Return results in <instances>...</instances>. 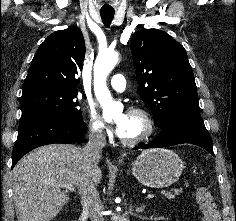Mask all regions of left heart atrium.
Here are the masks:
<instances>
[{
	"instance_id": "1",
	"label": "left heart atrium",
	"mask_w": 236,
	"mask_h": 221,
	"mask_svg": "<svg viewBox=\"0 0 236 221\" xmlns=\"http://www.w3.org/2000/svg\"><path fill=\"white\" fill-rule=\"evenodd\" d=\"M126 123V114H123L120 119H118L115 123L116 132L121 136L124 131Z\"/></svg>"
}]
</instances>
